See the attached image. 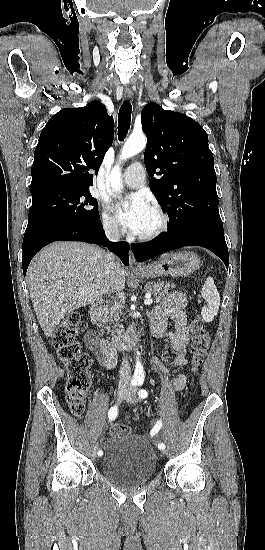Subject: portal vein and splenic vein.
I'll list each match as a JSON object with an SVG mask.
<instances>
[{
	"label": "portal vein and splenic vein",
	"instance_id": "obj_1",
	"mask_svg": "<svg viewBox=\"0 0 265 550\" xmlns=\"http://www.w3.org/2000/svg\"><path fill=\"white\" fill-rule=\"evenodd\" d=\"M81 293H84V291H81ZM153 303V300L150 295L146 296V300L144 301L145 305H151Z\"/></svg>",
	"mask_w": 265,
	"mask_h": 550
}]
</instances>
